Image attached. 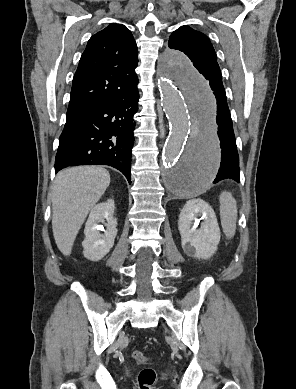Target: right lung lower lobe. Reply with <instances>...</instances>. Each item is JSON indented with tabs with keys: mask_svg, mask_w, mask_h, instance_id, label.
<instances>
[{
	"mask_svg": "<svg viewBox=\"0 0 296 389\" xmlns=\"http://www.w3.org/2000/svg\"><path fill=\"white\" fill-rule=\"evenodd\" d=\"M137 83L136 77L115 101L66 120L55 159L56 173L68 166L104 164L120 170L131 184Z\"/></svg>",
	"mask_w": 296,
	"mask_h": 389,
	"instance_id": "right-lung-lower-lobe-1",
	"label": "right lung lower lobe"
}]
</instances>
